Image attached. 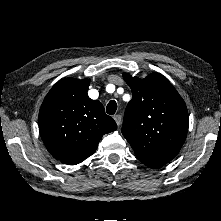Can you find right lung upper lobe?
Segmentation results:
<instances>
[{
  "label": "right lung upper lobe",
  "mask_w": 221,
  "mask_h": 221,
  "mask_svg": "<svg viewBox=\"0 0 221 221\" xmlns=\"http://www.w3.org/2000/svg\"><path fill=\"white\" fill-rule=\"evenodd\" d=\"M89 85L88 79L59 81L39 111V131L48 152L68 165L91 156L102 136L117 129L100 101L89 98Z\"/></svg>",
  "instance_id": "obj_1"
}]
</instances>
